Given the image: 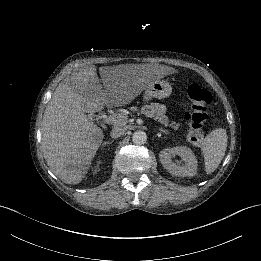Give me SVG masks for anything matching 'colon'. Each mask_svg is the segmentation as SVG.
<instances>
[{"label":"colon","mask_w":261,"mask_h":261,"mask_svg":"<svg viewBox=\"0 0 261 261\" xmlns=\"http://www.w3.org/2000/svg\"><path fill=\"white\" fill-rule=\"evenodd\" d=\"M187 108L184 120L187 125V135L191 140L197 139L210 119L209 106L213 101L212 94L207 89L196 83H191L186 88Z\"/></svg>","instance_id":"5ec220e1"}]
</instances>
